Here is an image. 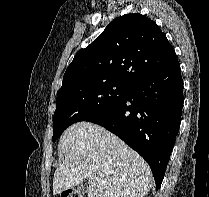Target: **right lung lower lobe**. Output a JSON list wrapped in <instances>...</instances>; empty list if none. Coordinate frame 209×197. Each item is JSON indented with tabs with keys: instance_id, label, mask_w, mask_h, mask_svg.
<instances>
[{
	"instance_id": "1",
	"label": "right lung lower lobe",
	"mask_w": 209,
	"mask_h": 197,
	"mask_svg": "<svg viewBox=\"0 0 209 197\" xmlns=\"http://www.w3.org/2000/svg\"><path fill=\"white\" fill-rule=\"evenodd\" d=\"M183 80L177 58L86 121L103 126L149 164L159 189L181 122Z\"/></svg>"
}]
</instances>
